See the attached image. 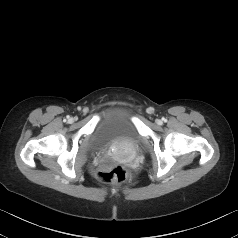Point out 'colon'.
I'll use <instances>...</instances> for the list:
<instances>
[{"instance_id": "1", "label": "colon", "mask_w": 238, "mask_h": 238, "mask_svg": "<svg viewBox=\"0 0 238 238\" xmlns=\"http://www.w3.org/2000/svg\"><path fill=\"white\" fill-rule=\"evenodd\" d=\"M96 177L103 183L118 184L127 179L128 172L122 165H113L101 168L97 172Z\"/></svg>"}]
</instances>
